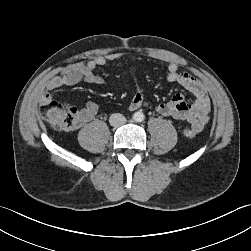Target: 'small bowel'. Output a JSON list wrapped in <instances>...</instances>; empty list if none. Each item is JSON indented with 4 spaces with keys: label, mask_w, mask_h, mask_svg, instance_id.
I'll use <instances>...</instances> for the list:
<instances>
[{
    "label": "small bowel",
    "mask_w": 251,
    "mask_h": 251,
    "mask_svg": "<svg viewBox=\"0 0 251 251\" xmlns=\"http://www.w3.org/2000/svg\"><path fill=\"white\" fill-rule=\"evenodd\" d=\"M121 57L119 53H110L105 56H98L86 63H78L69 67L61 74L49 79L45 85V92L39 96L41 104L52 102L50 92L64 86H72L81 81L89 84H103L104 78L96 73V69L104 66L109 61H116ZM135 68L131 74L136 86V92L129 103L130 110H137L141 107H149L150 103L142 94L141 86L135 77ZM167 80L177 83L193 95V101L187 102L182 94L174 95L169 101L156 105L155 110L162 116L174 120L187 121L195 131H200L209 120L211 102L209 95L200 81L188 72L180 71L176 63L170 62L167 65ZM99 106L95 102H88L85 107L78 111L77 127L88 123L97 114Z\"/></svg>",
    "instance_id": "c3829d8e"
}]
</instances>
